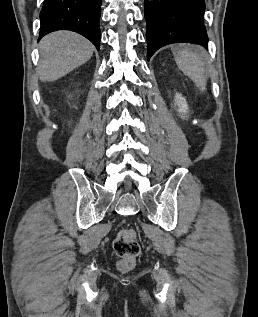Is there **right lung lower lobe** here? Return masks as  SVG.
Here are the masks:
<instances>
[{
  "mask_svg": "<svg viewBox=\"0 0 258 317\" xmlns=\"http://www.w3.org/2000/svg\"><path fill=\"white\" fill-rule=\"evenodd\" d=\"M101 1L44 0L39 40L56 30H71L89 39L99 50Z\"/></svg>",
  "mask_w": 258,
  "mask_h": 317,
  "instance_id": "right-lung-lower-lobe-1",
  "label": "right lung lower lobe"
}]
</instances>
